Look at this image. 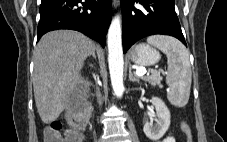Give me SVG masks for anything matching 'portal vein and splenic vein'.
<instances>
[{
	"instance_id": "portal-vein-and-splenic-vein-1",
	"label": "portal vein and splenic vein",
	"mask_w": 227,
	"mask_h": 142,
	"mask_svg": "<svg viewBox=\"0 0 227 142\" xmlns=\"http://www.w3.org/2000/svg\"><path fill=\"white\" fill-rule=\"evenodd\" d=\"M159 73H160V71H153L152 72V74H159ZM146 74H148L146 70H137L136 71V75L140 76V77H142V76H144Z\"/></svg>"
}]
</instances>
